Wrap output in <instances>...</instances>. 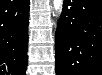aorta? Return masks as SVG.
<instances>
[{
	"mask_svg": "<svg viewBox=\"0 0 102 75\" xmlns=\"http://www.w3.org/2000/svg\"><path fill=\"white\" fill-rule=\"evenodd\" d=\"M63 0H53V7L56 12L62 10Z\"/></svg>",
	"mask_w": 102,
	"mask_h": 75,
	"instance_id": "1",
	"label": "aorta"
}]
</instances>
